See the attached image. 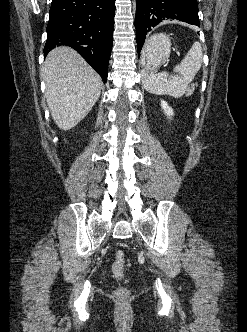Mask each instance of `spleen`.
Masks as SVG:
<instances>
[{"mask_svg":"<svg viewBox=\"0 0 247 332\" xmlns=\"http://www.w3.org/2000/svg\"><path fill=\"white\" fill-rule=\"evenodd\" d=\"M202 47L195 42L184 59L177 64L173 71L178 75H169L167 72L147 73L143 75L144 88L155 95H169L180 98L189 93V84L202 65Z\"/></svg>","mask_w":247,"mask_h":332,"instance_id":"spleen-1","label":"spleen"}]
</instances>
